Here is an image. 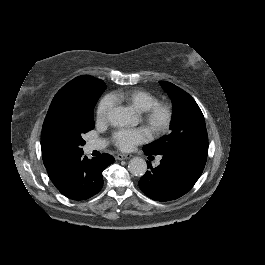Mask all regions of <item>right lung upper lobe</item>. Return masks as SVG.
Returning <instances> with one entry per match:
<instances>
[{
    "label": "right lung upper lobe",
    "instance_id": "cb5924a9",
    "mask_svg": "<svg viewBox=\"0 0 265 265\" xmlns=\"http://www.w3.org/2000/svg\"><path fill=\"white\" fill-rule=\"evenodd\" d=\"M94 80H98V79L92 76H88V75L78 76L74 78L73 80H71L70 82H68L66 85H64L54 96L50 104L48 113L45 117L43 127H42V133H41L42 158H43V163H44V166L46 167L47 172L51 171L55 167L65 162L64 160L55 158L46 146L45 136H46V132L48 130L52 116L54 115L56 110L60 107L65 95L68 93L70 89H72L76 85H79L85 82L94 81Z\"/></svg>",
    "mask_w": 265,
    "mask_h": 265
}]
</instances>
